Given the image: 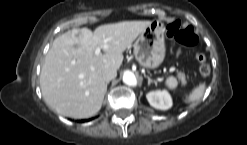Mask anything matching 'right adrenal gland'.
I'll return each instance as SVG.
<instances>
[{
	"instance_id": "1",
	"label": "right adrenal gland",
	"mask_w": 247,
	"mask_h": 145,
	"mask_svg": "<svg viewBox=\"0 0 247 145\" xmlns=\"http://www.w3.org/2000/svg\"><path fill=\"white\" fill-rule=\"evenodd\" d=\"M109 84V82H106V86Z\"/></svg>"
}]
</instances>
